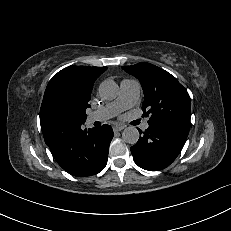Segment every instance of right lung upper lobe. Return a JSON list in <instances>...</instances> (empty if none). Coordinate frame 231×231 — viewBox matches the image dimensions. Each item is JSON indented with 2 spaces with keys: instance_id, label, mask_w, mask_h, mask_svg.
I'll use <instances>...</instances> for the list:
<instances>
[{
  "instance_id": "cb5924a9",
  "label": "right lung upper lobe",
  "mask_w": 231,
  "mask_h": 231,
  "mask_svg": "<svg viewBox=\"0 0 231 231\" xmlns=\"http://www.w3.org/2000/svg\"><path fill=\"white\" fill-rule=\"evenodd\" d=\"M106 69L69 66L50 80L40 109L41 129L49 147L61 143L69 129L85 122L93 84Z\"/></svg>"
}]
</instances>
